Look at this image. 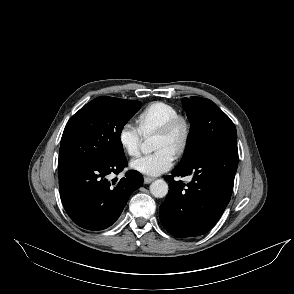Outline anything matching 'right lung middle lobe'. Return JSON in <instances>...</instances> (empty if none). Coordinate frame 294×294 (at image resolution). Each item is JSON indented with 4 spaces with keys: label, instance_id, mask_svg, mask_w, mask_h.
Returning <instances> with one entry per match:
<instances>
[{
    "label": "right lung middle lobe",
    "instance_id": "dd1d6c3e",
    "mask_svg": "<svg viewBox=\"0 0 294 294\" xmlns=\"http://www.w3.org/2000/svg\"><path fill=\"white\" fill-rule=\"evenodd\" d=\"M140 107L139 101L106 96L86 104L64 129L58 168L124 156L121 131Z\"/></svg>",
    "mask_w": 294,
    "mask_h": 294
}]
</instances>
